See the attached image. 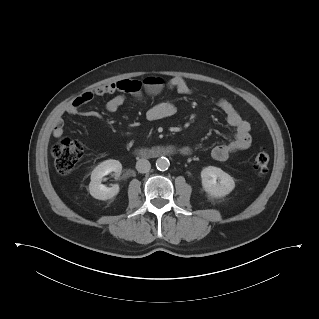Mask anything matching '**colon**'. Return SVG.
Segmentation results:
<instances>
[{
  "mask_svg": "<svg viewBox=\"0 0 319 319\" xmlns=\"http://www.w3.org/2000/svg\"><path fill=\"white\" fill-rule=\"evenodd\" d=\"M165 81L160 77L150 76L141 81H129L126 85V92L137 95L141 91L157 93L164 87ZM85 146L81 141L63 138L57 141L52 148V156L58 173L70 174L77 162L82 158ZM269 155L264 150L255 153L252 167L257 175L262 176L267 172Z\"/></svg>",
  "mask_w": 319,
  "mask_h": 319,
  "instance_id": "colon-1",
  "label": "colon"
}]
</instances>
